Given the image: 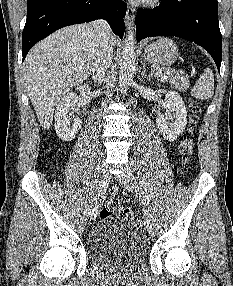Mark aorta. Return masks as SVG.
I'll list each match as a JSON object with an SVG mask.
<instances>
[{
    "label": "aorta",
    "instance_id": "762f6f07",
    "mask_svg": "<svg viewBox=\"0 0 233 286\" xmlns=\"http://www.w3.org/2000/svg\"><path fill=\"white\" fill-rule=\"evenodd\" d=\"M134 43V32L130 28L128 35H126L125 38L123 53L120 60L119 86L121 88V93L123 94H126L128 87L133 81L136 64Z\"/></svg>",
    "mask_w": 233,
    "mask_h": 286
}]
</instances>
